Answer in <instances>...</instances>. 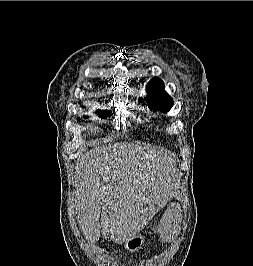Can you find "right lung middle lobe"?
I'll use <instances>...</instances> for the list:
<instances>
[{"instance_id": "1", "label": "right lung middle lobe", "mask_w": 253, "mask_h": 266, "mask_svg": "<svg viewBox=\"0 0 253 266\" xmlns=\"http://www.w3.org/2000/svg\"><path fill=\"white\" fill-rule=\"evenodd\" d=\"M98 113L101 115L102 118H106L109 114L108 111H100V110L98 111Z\"/></svg>"}]
</instances>
